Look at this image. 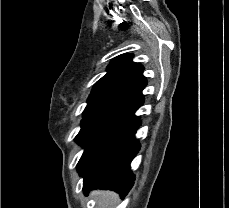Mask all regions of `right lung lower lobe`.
<instances>
[{
  "label": "right lung lower lobe",
  "instance_id": "right-lung-lower-lobe-1",
  "mask_svg": "<svg viewBox=\"0 0 229 208\" xmlns=\"http://www.w3.org/2000/svg\"><path fill=\"white\" fill-rule=\"evenodd\" d=\"M140 124L138 117L91 152L77 167L80 175L84 177L85 194L93 189H110L124 197L130 191L135 178L130 163L140 149L134 135Z\"/></svg>",
  "mask_w": 229,
  "mask_h": 208
}]
</instances>
